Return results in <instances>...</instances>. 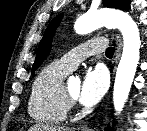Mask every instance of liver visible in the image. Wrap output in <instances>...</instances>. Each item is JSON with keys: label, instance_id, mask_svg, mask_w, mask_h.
<instances>
[{"label": "liver", "instance_id": "obj_1", "mask_svg": "<svg viewBox=\"0 0 147 131\" xmlns=\"http://www.w3.org/2000/svg\"><path fill=\"white\" fill-rule=\"evenodd\" d=\"M29 131H73V129L65 126L39 123L30 127Z\"/></svg>", "mask_w": 147, "mask_h": 131}]
</instances>
